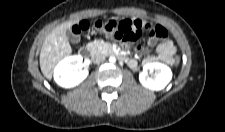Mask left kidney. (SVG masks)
<instances>
[{
	"label": "left kidney",
	"instance_id": "obj_1",
	"mask_svg": "<svg viewBox=\"0 0 225 132\" xmlns=\"http://www.w3.org/2000/svg\"><path fill=\"white\" fill-rule=\"evenodd\" d=\"M171 79V69L159 62L146 63L143 71L139 74L140 83L144 87L155 91L165 88Z\"/></svg>",
	"mask_w": 225,
	"mask_h": 132
}]
</instances>
